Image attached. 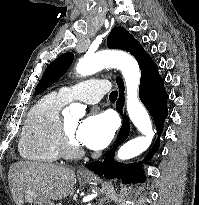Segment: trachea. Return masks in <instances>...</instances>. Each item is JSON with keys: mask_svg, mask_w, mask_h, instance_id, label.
I'll list each match as a JSON object with an SVG mask.
<instances>
[{"mask_svg": "<svg viewBox=\"0 0 199 205\" xmlns=\"http://www.w3.org/2000/svg\"><path fill=\"white\" fill-rule=\"evenodd\" d=\"M117 95H118L117 91H112L110 93L109 99L110 100H116L117 99Z\"/></svg>", "mask_w": 199, "mask_h": 205, "instance_id": "trachea-1", "label": "trachea"}]
</instances>
